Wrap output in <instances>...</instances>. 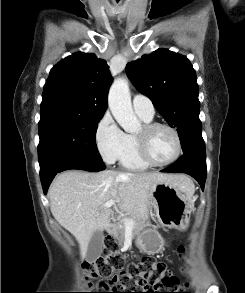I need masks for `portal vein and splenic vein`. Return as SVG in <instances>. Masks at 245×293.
<instances>
[{
	"label": "portal vein and splenic vein",
	"instance_id": "18ae733b",
	"mask_svg": "<svg viewBox=\"0 0 245 293\" xmlns=\"http://www.w3.org/2000/svg\"><path fill=\"white\" fill-rule=\"evenodd\" d=\"M114 204H115V202H114L113 200H110V201L106 202V203L103 205V207H104V208H109V207L113 206ZM124 224H125V228H126V230H132V229H133V226H134V224H135V222L132 221V220H129V219H125Z\"/></svg>",
	"mask_w": 245,
	"mask_h": 293
}]
</instances>
